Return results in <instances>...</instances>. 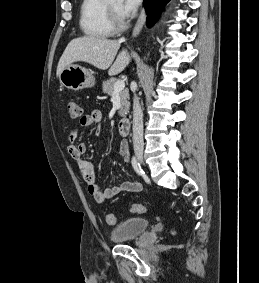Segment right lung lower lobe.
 I'll use <instances>...</instances> for the list:
<instances>
[{
    "label": "right lung lower lobe",
    "instance_id": "1",
    "mask_svg": "<svg viewBox=\"0 0 259 283\" xmlns=\"http://www.w3.org/2000/svg\"><path fill=\"white\" fill-rule=\"evenodd\" d=\"M169 0H144L146 12H147V24L152 26L159 17L161 8Z\"/></svg>",
    "mask_w": 259,
    "mask_h": 283
}]
</instances>
